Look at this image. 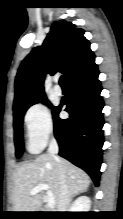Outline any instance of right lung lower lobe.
Returning a JSON list of instances; mask_svg holds the SVG:
<instances>
[{
  "label": "right lung lower lobe",
  "mask_w": 123,
  "mask_h": 219,
  "mask_svg": "<svg viewBox=\"0 0 123 219\" xmlns=\"http://www.w3.org/2000/svg\"><path fill=\"white\" fill-rule=\"evenodd\" d=\"M95 58L68 78L69 93L53 112L54 134L59 155L86 171L99 185L103 146L104 106ZM66 105L68 119L59 118Z\"/></svg>",
  "instance_id": "1"
}]
</instances>
